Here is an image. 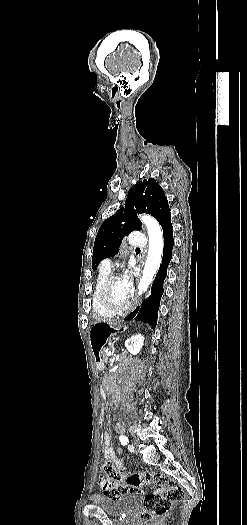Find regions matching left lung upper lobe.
<instances>
[{"mask_svg": "<svg viewBox=\"0 0 247 525\" xmlns=\"http://www.w3.org/2000/svg\"><path fill=\"white\" fill-rule=\"evenodd\" d=\"M138 213L151 214L160 224L170 215L164 191L153 178L141 180L134 185L127 195L124 207L101 225L93 248V269H97L102 259L117 254L124 236L141 229Z\"/></svg>", "mask_w": 247, "mask_h": 525, "instance_id": "obj_1", "label": "left lung upper lobe"}]
</instances>
